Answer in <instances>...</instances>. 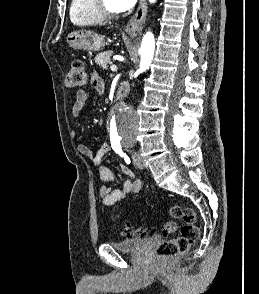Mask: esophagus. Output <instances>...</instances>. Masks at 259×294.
<instances>
[{
  "instance_id": "obj_1",
  "label": "esophagus",
  "mask_w": 259,
  "mask_h": 294,
  "mask_svg": "<svg viewBox=\"0 0 259 294\" xmlns=\"http://www.w3.org/2000/svg\"><path fill=\"white\" fill-rule=\"evenodd\" d=\"M146 14H147V2L146 0H140L137 11L131 17V19L129 20V22L127 23L125 27L126 33H128L130 36H137L142 30V26L145 22Z\"/></svg>"
}]
</instances>
